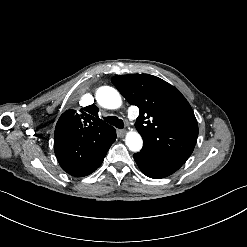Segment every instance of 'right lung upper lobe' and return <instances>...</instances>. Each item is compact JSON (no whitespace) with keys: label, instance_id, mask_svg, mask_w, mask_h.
<instances>
[{"label":"right lung upper lobe","instance_id":"cb5924a9","mask_svg":"<svg viewBox=\"0 0 247 247\" xmlns=\"http://www.w3.org/2000/svg\"><path fill=\"white\" fill-rule=\"evenodd\" d=\"M98 107L86 106L82 114L64 112L55 127L54 151L62 167L97 160L116 139V130L99 119Z\"/></svg>","mask_w":247,"mask_h":247}]
</instances>
